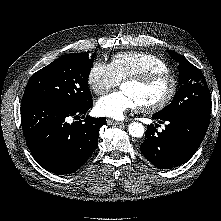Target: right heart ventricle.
I'll return each instance as SVG.
<instances>
[{"label": "right heart ventricle", "instance_id": "obj_1", "mask_svg": "<svg viewBox=\"0 0 221 221\" xmlns=\"http://www.w3.org/2000/svg\"><path fill=\"white\" fill-rule=\"evenodd\" d=\"M110 65L119 81L148 72L168 71V64L162 58L140 51L117 53Z\"/></svg>", "mask_w": 221, "mask_h": 221}]
</instances>
